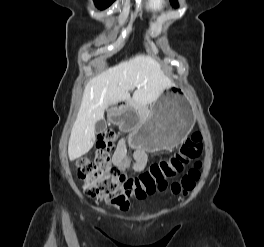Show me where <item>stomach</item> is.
I'll list each match as a JSON object with an SVG mask.
<instances>
[{
  "mask_svg": "<svg viewBox=\"0 0 264 247\" xmlns=\"http://www.w3.org/2000/svg\"><path fill=\"white\" fill-rule=\"evenodd\" d=\"M181 86H168L164 96L140 119L131 105L110 110V120L131 130L130 142L147 152L177 147L193 122L191 106Z\"/></svg>",
  "mask_w": 264,
  "mask_h": 247,
  "instance_id": "0dacf381",
  "label": "stomach"
}]
</instances>
